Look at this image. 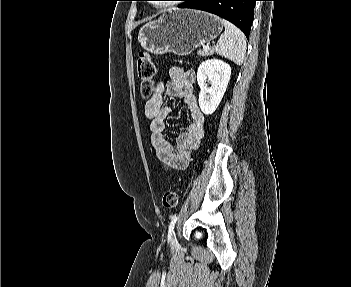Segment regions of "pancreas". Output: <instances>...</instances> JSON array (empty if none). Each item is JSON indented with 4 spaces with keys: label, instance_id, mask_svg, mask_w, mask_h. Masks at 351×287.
<instances>
[{
    "label": "pancreas",
    "instance_id": "cf45deb5",
    "mask_svg": "<svg viewBox=\"0 0 351 287\" xmlns=\"http://www.w3.org/2000/svg\"><path fill=\"white\" fill-rule=\"evenodd\" d=\"M213 53V51L211 50V49H203V50H198L197 51V54L199 55V56H208V55H211Z\"/></svg>",
    "mask_w": 351,
    "mask_h": 287
}]
</instances>
